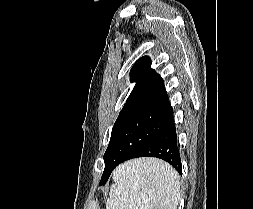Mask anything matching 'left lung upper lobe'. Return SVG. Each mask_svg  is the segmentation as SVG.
Listing matches in <instances>:
<instances>
[{"instance_id": "5c2ea615", "label": "left lung upper lobe", "mask_w": 253, "mask_h": 209, "mask_svg": "<svg viewBox=\"0 0 253 209\" xmlns=\"http://www.w3.org/2000/svg\"><path fill=\"white\" fill-rule=\"evenodd\" d=\"M150 65L151 60L145 56L131 69V81L136 84L113 126L104 154L105 169L138 153L173 118L164 81Z\"/></svg>"}]
</instances>
